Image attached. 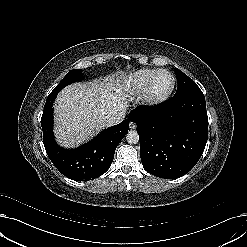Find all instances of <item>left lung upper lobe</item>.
<instances>
[{
  "instance_id": "1",
  "label": "left lung upper lobe",
  "mask_w": 247,
  "mask_h": 247,
  "mask_svg": "<svg viewBox=\"0 0 247 247\" xmlns=\"http://www.w3.org/2000/svg\"><path fill=\"white\" fill-rule=\"evenodd\" d=\"M176 77L178 81V88L173 97H182L191 92L200 91L197 84L178 68H176Z\"/></svg>"
}]
</instances>
